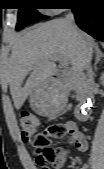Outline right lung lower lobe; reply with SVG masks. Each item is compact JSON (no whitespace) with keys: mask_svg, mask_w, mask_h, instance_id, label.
Listing matches in <instances>:
<instances>
[{"mask_svg":"<svg viewBox=\"0 0 104 169\" xmlns=\"http://www.w3.org/2000/svg\"><path fill=\"white\" fill-rule=\"evenodd\" d=\"M70 6L78 26L94 38L104 41V0H77Z\"/></svg>","mask_w":104,"mask_h":169,"instance_id":"1","label":"right lung lower lobe"}]
</instances>
